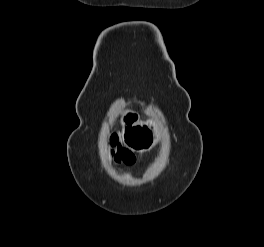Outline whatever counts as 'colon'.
<instances>
[{
	"label": "colon",
	"instance_id": "obj_1",
	"mask_svg": "<svg viewBox=\"0 0 264 247\" xmlns=\"http://www.w3.org/2000/svg\"><path fill=\"white\" fill-rule=\"evenodd\" d=\"M113 145L116 146V152H115V157L118 162L123 163V164H130L132 163L134 157L133 155L127 151L124 148H121L120 146H117L116 139H112Z\"/></svg>",
	"mask_w": 264,
	"mask_h": 247
}]
</instances>
